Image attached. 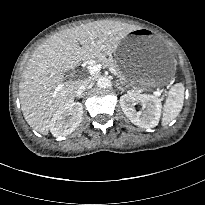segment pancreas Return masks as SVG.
<instances>
[{
	"mask_svg": "<svg viewBox=\"0 0 205 205\" xmlns=\"http://www.w3.org/2000/svg\"><path fill=\"white\" fill-rule=\"evenodd\" d=\"M97 62L100 63L101 66L108 68L112 73H117L121 76L119 67L114 60L100 57L97 58Z\"/></svg>",
	"mask_w": 205,
	"mask_h": 205,
	"instance_id": "obj_1",
	"label": "pancreas"
}]
</instances>
